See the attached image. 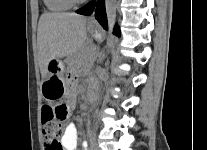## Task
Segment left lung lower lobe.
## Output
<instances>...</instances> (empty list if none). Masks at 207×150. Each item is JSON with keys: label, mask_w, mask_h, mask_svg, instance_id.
Here are the masks:
<instances>
[{"label": "left lung lower lobe", "mask_w": 207, "mask_h": 150, "mask_svg": "<svg viewBox=\"0 0 207 150\" xmlns=\"http://www.w3.org/2000/svg\"><path fill=\"white\" fill-rule=\"evenodd\" d=\"M94 9L96 10V20L102 25L103 28L107 29V17L104 0H93L84 7L78 9L76 12L82 15H90ZM113 33L117 36H120V30L118 26H115Z\"/></svg>", "instance_id": "obj_1"}]
</instances>
